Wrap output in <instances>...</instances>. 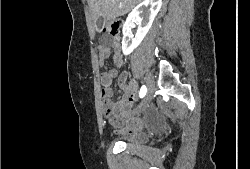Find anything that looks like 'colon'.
Masks as SVG:
<instances>
[{"label": "colon", "instance_id": "obj_1", "mask_svg": "<svg viewBox=\"0 0 250 169\" xmlns=\"http://www.w3.org/2000/svg\"><path fill=\"white\" fill-rule=\"evenodd\" d=\"M120 25L119 23H112L109 25H105L102 28L103 33L108 37V38H115L118 36V34L120 33Z\"/></svg>", "mask_w": 250, "mask_h": 169}]
</instances>
